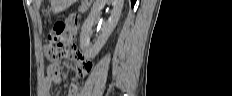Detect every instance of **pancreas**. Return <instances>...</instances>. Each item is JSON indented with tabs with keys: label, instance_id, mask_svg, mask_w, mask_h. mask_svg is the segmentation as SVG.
<instances>
[{
	"label": "pancreas",
	"instance_id": "pancreas-1",
	"mask_svg": "<svg viewBox=\"0 0 232 96\" xmlns=\"http://www.w3.org/2000/svg\"><path fill=\"white\" fill-rule=\"evenodd\" d=\"M88 6H89L88 3H82V4L79 6V11H80V12H85V11L88 9Z\"/></svg>",
	"mask_w": 232,
	"mask_h": 96
}]
</instances>
